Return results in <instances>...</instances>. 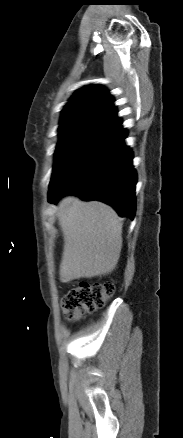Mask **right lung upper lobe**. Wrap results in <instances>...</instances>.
Segmentation results:
<instances>
[{
  "label": "right lung upper lobe",
  "mask_w": 183,
  "mask_h": 438,
  "mask_svg": "<svg viewBox=\"0 0 183 438\" xmlns=\"http://www.w3.org/2000/svg\"><path fill=\"white\" fill-rule=\"evenodd\" d=\"M117 119L113 98L102 86L89 85L79 89L64 107L59 131L101 127Z\"/></svg>",
  "instance_id": "1"
}]
</instances>
